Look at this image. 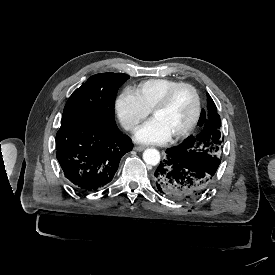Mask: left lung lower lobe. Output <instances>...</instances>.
Returning a JSON list of instances; mask_svg holds the SVG:
<instances>
[{"instance_id":"0a47b994","label":"left lung lower lobe","mask_w":275,"mask_h":275,"mask_svg":"<svg viewBox=\"0 0 275 275\" xmlns=\"http://www.w3.org/2000/svg\"><path fill=\"white\" fill-rule=\"evenodd\" d=\"M166 153L153 176L157 190L163 195L175 200L193 199L212 186L215 173L185 160L171 148Z\"/></svg>"}]
</instances>
